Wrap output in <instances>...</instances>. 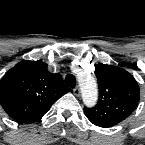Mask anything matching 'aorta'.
I'll use <instances>...</instances> for the list:
<instances>
[{"mask_svg":"<svg viewBox=\"0 0 145 145\" xmlns=\"http://www.w3.org/2000/svg\"><path fill=\"white\" fill-rule=\"evenodd\" d=\"M78 80L84 104L88 107L94 106L98 98V89L95 78L90 74H85L80 75Z\"/></svg>","mask_w":145,"mask_h":145,"instance_id":"1","label":"aorta"}]
</instances>
